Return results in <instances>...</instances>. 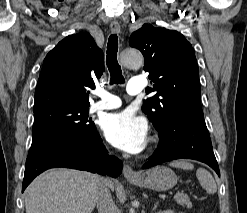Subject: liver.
<instances>
[{
    "instance_id": "1",
    "label": "liver",
    "mask_w": 247,
    "mask_h": 213,
    "mask_svg": "<svg viewBox=\"0 0 247 213\" xmlns=\"http://www.w3.org/2000/svg\"><path fill=\"white\" fill-rule=\"evenodd\" d=\"M100 181V176L85 171L48 170L25 190L26 213H91Z\"/></svg>"
}]
</instances>
